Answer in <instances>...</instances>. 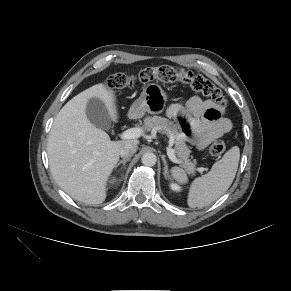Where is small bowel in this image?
<instances>
[{
    "mask_svg": "<svg viewBox=\"0 0 291 291\" xmlns=\"http://www.w3.org/2000/svg\"><path fill=\"white\" fill-rule=\"evenodd\" d=\"M223 113L222 107L199 96L168 109L169 116L182 127L186 138L200 150L230 131L231 121Z\"/></svg>",
    "mask_w": 291,
    "mask_h": 291,
    "instance_id": "c3829d8e",
    "label": "small bowel"
}]
</instances>
